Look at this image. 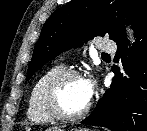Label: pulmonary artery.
Segmentation results:
<instances>
[{
    "mask_svg": "<svg viewBox=\"0 0 147 131\" xmlns=\"http://www.w3.org/2000/svg\"><path fill=\"white\" fill-rule=\"evenodd\" d=\"M97 47L100 52H113L116 50L115 44L108 41L100 42Z\"/></svg>",
    "mask_w": 147,
    "mask_h": 131,
    "instance_id": "pulmonary-artery-1",
    "label": "pulmonary artery"
}]
</instances>
